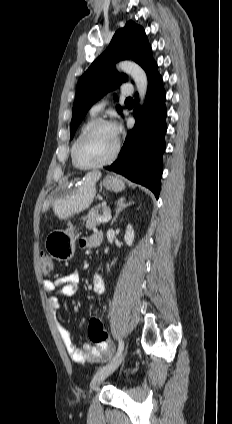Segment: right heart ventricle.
I'll use <instances>...</instances> for the list:
<instances>
[{
	"instance_id": "right-heart-ventricle-1",
	"label": "right heart ventricle",
	"mask_w": 232,
	"mask_h": 424,
	"mask_svg": "<svg viewBox=\"0 0 232 424\" xmlns=\"http://www.w3.org/2000/svg\"><path fill=\"white\" fill-rule=\"evenodd\" d=\"M96 120V115H94V114H91L90 113V115L88 116V118L85 120V122L82 124V126L80 127V129H79V131H78V134H77V136H76V138H75V141H74V143H73V146H74V144H75V142H76V140L79 138V136L83 133V131L91 124V123H93L94 121ZM73 146H72V150H71V158H72V163H73V165L75 166V167H77L76 165H75V163H74V160H73V157H72V151H73Z\"/></svg>"
}]
</instances>
